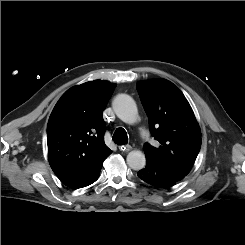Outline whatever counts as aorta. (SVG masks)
<instances>
[{"mask_svg":"<svg viewBox=\"0 0 245 245\" xmlns=\"http://www.w3.org/2000/svg\"><path fill=\"white\" fill-rule=\"evenodd\" d=\"M113 109L123 122L132 124L137 120L138 110L135 101L127 94H119L113 101ZM127 164L133 170L145 167V155L139 150H133L127 155Z\"/></svg>","mask_w":245,"mask_h":245,"instance_id":"aorta-1","label":"aorta"}]
</instances>
